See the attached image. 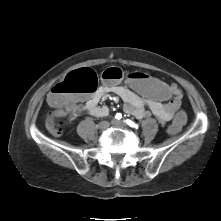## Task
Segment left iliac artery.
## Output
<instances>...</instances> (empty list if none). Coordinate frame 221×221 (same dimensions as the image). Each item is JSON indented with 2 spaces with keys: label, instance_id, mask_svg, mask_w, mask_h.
Returning a JSON list of instances; mask_svg holds the SVG:
<instances>
[{
  "label": "left iliac artery",
  "instance_id": "44dca946",
  "mask_svg": "<svg viewBox=\"0 0 221 221\" xmlns=\"http://www.w3.org/2000/svg\"><path fill=\"white\" fill-rule=\"evenodd\" d=\"M125 123L132 128H136V129L138 128V125L130 119H126Z\"/></svg>",
  "mask_w": 221,
  "mask_h": 221
}]
</instances>
